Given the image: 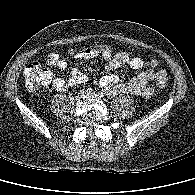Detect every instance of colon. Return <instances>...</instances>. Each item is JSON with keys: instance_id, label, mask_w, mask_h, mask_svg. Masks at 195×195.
I'll return each mask as SVG.
<instances>
[{"instance_id": "obj_1", "label": "colon", "mask_w": 195, "mask_h": 195, "mask_svg": "<svg viewBox=\"0 0 195 195\" xmlns=\"http://www.w3.org/2000/svg\"><path fill=\"white\" fill-rule=\"evenodd\" d=\"M98 51H107L109 50L107 46L102 45L96 48ZM57 56L51 54L47 57V63L49 65H54ZM25 75V84L28 90L35 91L41 86L47 84L51 78V71L42 67L41 64L37 61H32L28 63L24 70ZM169 78L167 74H162L157 79V87L162 88L167 85Z\"/></svg>"}]
</instances>
